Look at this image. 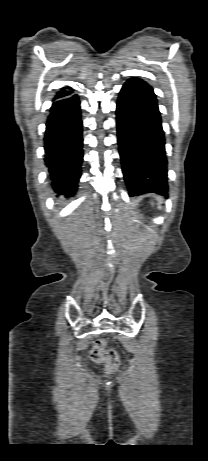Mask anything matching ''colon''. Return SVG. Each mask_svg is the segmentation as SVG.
<instances>
[{"instance_id": "obj_1", "label": "colon", "mask_w": 208, "mask_h": 461, "mask_svg": "<svg viewBox=\"0 0 208 461\" xmlns=\"http://www.w3.org/2000/svg\"><path fill=\"white\" fill-rule=\"evenodd\" d=\"M91 357L95 362L103 363L108 372L115 371L120 362L118 353L113 349L107 348L105 341L102 339L94 342Z\"/></svg>"}]
</instances>
